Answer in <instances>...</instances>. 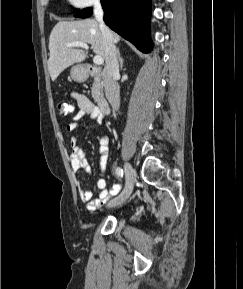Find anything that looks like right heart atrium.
Returning a JSON list of instances; mask_svg holds the SVG:
<instances>
[{"label":"right heart atrium","mask_w":243,"mask_h":289,"mask_svg":"<svg viewBox=\"0 0 243 289\" xmlns=\"http://www.w3.org/2000/svg\"><path fill=\"white\" fill-rule=\"evenodd\" d=\"M68 2L77 8H87L98 4L100 0H68Z\"/></svg>","instance_id":"d8ad5b80"}]
</instances>
